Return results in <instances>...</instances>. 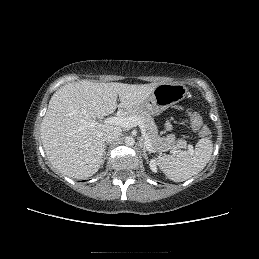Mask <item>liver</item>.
Returning a JSON list of instances; mask_svg holds the SVG:
<instances>
[{
	"mask_svg": "<svg viewBox=\"0 0 259 259\" xmlns=\"http://www.w3.org/2000/svg\"><path fill=\"white\" fill-rule=\"evenodd\" d=\"M157 85L81 80L60 87L52 95L40 127L43 148L51 164L72 178L94 175L103 161L104 133L110 125L89 127L84 121L112 114L117 107L137 109Z\"/></svg>",
	"mask_w": 259,
	"mask_h": 259,
	"instance_id": "1",
	"label": "liver"
}]
</instances>
